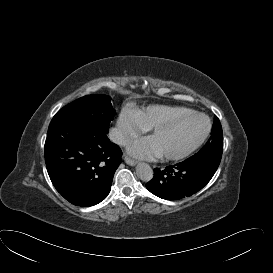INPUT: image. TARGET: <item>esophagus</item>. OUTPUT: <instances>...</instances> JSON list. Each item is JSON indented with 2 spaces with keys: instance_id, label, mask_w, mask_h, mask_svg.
I'll return each instance as SVG.
<instances>
[{
  "instance_id": "34e87169",
  "label": "esophagus",
  "mask_w": 273,
  "mask_h": 273,
  "mask_svg": "<svg viewBox=\"0 0 273 273\" xmlns=\"http://www.w3.org/2000/svg\"><path fill=\"white\" fill-rule=\"evenodd\" d=\"M124 161H125L128 165H131V166H134V165H136V164L138 163L137 160L132 159V158H130V157H128V156H125V157H124Z\"/></svg>"
}]
</instances>
